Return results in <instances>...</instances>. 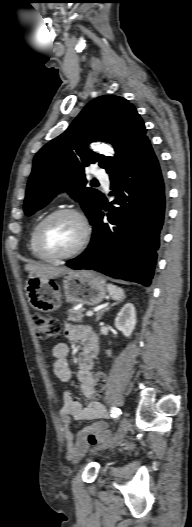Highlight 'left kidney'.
<instances>
[{"label":"left kidney","mask_w":192,"mask_h":527,"mask_svg":"<svg viewBox=\"0 0 192 527\" xmlns=\"http://www.w3.org/2000/svg\"><path fill=\"white\" fill-rule=\"evenodd\" d=\"M136 325V311L131 303L125 304L121 311L115 318V327L123 333L124 336L129 337ZM110 355V351H107Z\"/></svg>","instance_id":"5707ae66"}]
</instances>
